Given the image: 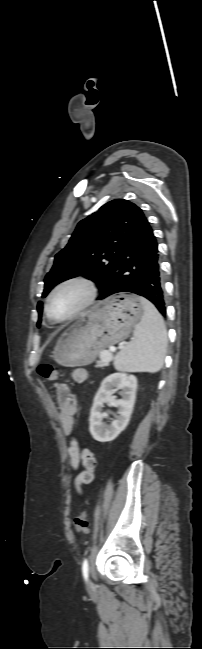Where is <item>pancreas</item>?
Returning a JSON list of instances; mask_svg holds the SVG:
<instances>
[{"instance_id":"cf45deb5","label":"pancreas","mask_w":202,"mask_h":649,"mask_svg":"<svg viewBox=\"0 0 202 649\" xmlns=\"http://www.w3.org/2000/svg\"><path fill=\"white\" fill-rule=\"evenodd\" d=\"M102 352H107L108 354L112 355V353L110 351H108V350L101 351L100 355H101ZM108 365H109V362H105V361L100 360V361L97 362L96 367L97 368H102V367H105V366H108Z\"/></svg>"}]
</instances>
